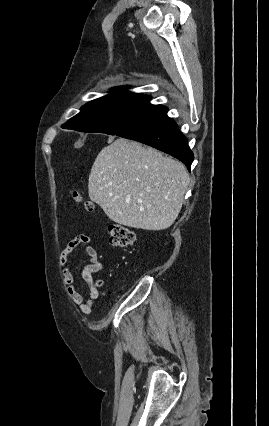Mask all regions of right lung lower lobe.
<instances>
[{
  "label": "right lung lower lobe",
  "instance_id": "right-lung-lower-lobe-1",
  "mask_svg": "<svg viewBox=\"0 0 269 426\" xmlns=\"http://www.w3.org/2000/svg\"><path fill=\"white\" fill-rule=\"evenodd\" d=\"M167 111L165 106H156L142 122L118 136L163 151L182 161L190 170L194 155L186 137L180 132L174 120L167 116ZM62 127L68 129L64 125Z\"/></svg>",
  "mask_w": 269,
  "mask_h": 426
}]
</instances>
